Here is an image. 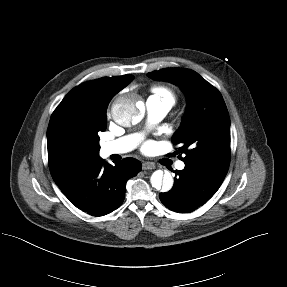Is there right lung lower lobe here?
<instances>
[{
  "label": "right lung lower lobe",
  "mask_w": 287,
  "mask_h": 287,
  "mask_svg": "<svg viewBox=\"0 0 287 287\" xmlns=\"http://www.w3.org/2000/svg\"><path fill=\"white\" fill-rule=\"evenodd\" d=\"M141 168V162L134 158L117 161L113 166L98 157L63 193L80 210L103 216L122 204L126 181L136 176Z\"/></svg>",
  "instance_id": "right-lung-lower-lobe-1"
}]
</instances>
